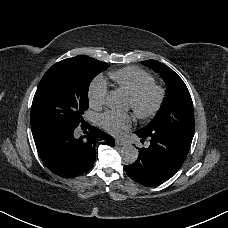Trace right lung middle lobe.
Masks as SVG:
<instances>
[{
  "label": "right lung middle lobe",
  "instance_id": "right-lung-middle-lobe-1",
  "mask_svg": "<svg viewBox=\"0 0 228 228\" xmlns=\"http://www.w3.org/2000/svg\"><path fill=\"white\" fill-rule=\"evenodd\" d=\"M108 64L87 56L64 59L48 69L41 79L31 107V127L44 124H85L88 89L92 79Z\"/></svg>",
  "mask_w": 228,
  "mask_h": 228
}]
</instances>
